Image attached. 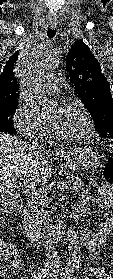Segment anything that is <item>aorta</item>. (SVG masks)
Masks as SVG:
<instances>
[{
    "label": "aorta",
    "instance_id": "1",
    "mask_svg": "<svg viewBox=\"0 0 113 279\" xmlns=\"http://www.w3.org/2000/svg\"><path fill=\"white\" fill-rule=\"evenodd\" d=\"M58 64V59L54 55H47L41 62V66L46 70L50 71L54 69ZM29 92V91H28ZM29 97L33 100H36V111L44 114L49 111L50 101L47 96L38 97L36 94L29 92ZM67 241H68V252H69V259H68V267L69 268H76L79 266L81 261V247L78 234L76 231L70 227L68 228L67 232Z\"/></svg>",
    "mask_w": 113,
    "mask_h": 279
}]
</instances>
